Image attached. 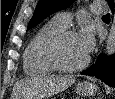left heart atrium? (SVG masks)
I'll list each match as a JSON object with an SVG mask.
<instances>
[{
    "label": "left heart atrium",
    "mask_w": 115,
    "mask_h": 99,
    "mask_svg": "<svg viewBox=\"0 0 115 99\" xmlns=\"http://www.w3.org/2000/svg\"><path fill=\"white\" fill-rule=\"evenodd\" d=\"M78 40L86 53L88 55L95 44V38H94V33L93 29L89 25H85L82 30L77 34Z\"/></svg>",
    "instance_id": "39dd6f15"
}]
</instances>
